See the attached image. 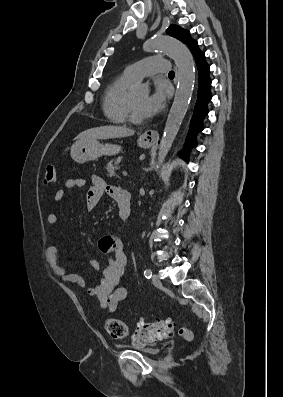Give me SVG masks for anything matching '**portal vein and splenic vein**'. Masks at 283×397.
<instances>
[{"label":"portal vein and splenic vein","mask_w":283,"mask_h":397,"mask_svg":"<svg viewBox=\"0 0 283 397\" xmlns=\"http://www.w3.org/2000/svg\"><path fill=\"white\" fill-rule=\"evenodd\" d=\"M123 176H127V172L126 171H123Z\"/></svg>","instance_id":"obj_1"}]
</instances>
